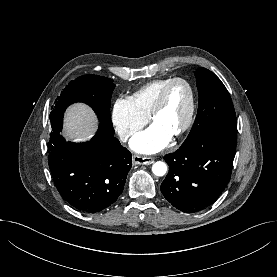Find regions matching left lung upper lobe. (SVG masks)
<instances>
[{"mask_svg": "<svg viewBox=\"0 0 277 277\" xmlns=\"http://www.w3.org/2000/svg\"><path fill=\"white\" fill-rule=\"evenodd\" d=\"M199 107L194 125L182 145L214 133H237V120L230 95L221 80L206 68L195 71Z\"/></svg>", "mask_w": 277, "mask_h": 277, "instance_id": "obj_1", "label": "left lung upper lobe"}]
</instances>
